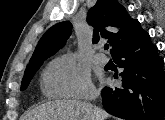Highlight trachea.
<instances>
[{
	"label": "trachea",
	"instance_id": "3493384b",
	"mask_svg": "<svg viewBox=\"0 0 165 120\" xmlns=\"http://www.w3.org/2000/svg\"><path fill=\"white\" fill-rule=\"evenodd\" d=\"M109 48V45L108 44H105L104 45V49L107 50Z\"/></svg>",
	"mask_w": 165,
	"mask_h": 120
}]
</instances>
